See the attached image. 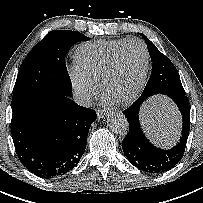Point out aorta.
<instances>
[{
	"label": "aorta",
	"mask_w": 203,
	"mask_h": 203,
	"mask_svg": "<svg viewBox=\"0 0 203 203\" xmlns=\"http://www.w3.org/2000/svg\"><path fill=\"white\" fill-rule=\"evenodd\" d=\"M107 125L112 132L120 135H124L129 128L127 118L121 112H112L108 116Z\"/></svg>",
	"instance_id": "aorta-1"
}]
</instances>
